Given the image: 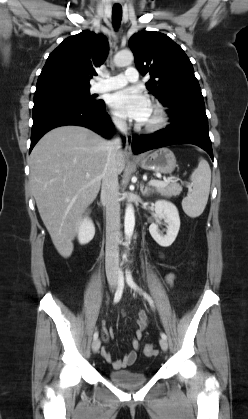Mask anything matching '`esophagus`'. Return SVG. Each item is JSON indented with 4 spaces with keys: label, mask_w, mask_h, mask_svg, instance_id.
<instances>
[{
    "label": "esophagus",
    "mask_w": 248,
    "mask_h": 419,
    "mask_svg": "<svg viewBox=\"0 0 248 419\" xmlns=\"http://www.w3.org/2000/svg\"><path fill=\"white\" fill-rule=\"evenodd\" d=\"M132 135L130 134V133H128L127 135H126V147H125V154L127 155V156H134L133 155V152H132V147H131V145H132Z\"/></svg>",
    "instance_id": "34e87169"
}]
</instances>
